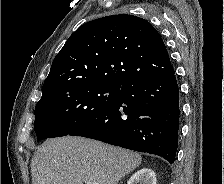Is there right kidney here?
<instances>
[{
	"label": "right kidney",
	"mask_w": 224,
	"mask_h": 184,
	"mask_svg": "<svg viewBox=\"0 0 224 184\" xmlns=\"http://www.w3.org/2000/svg\"><path fill=\"white\" fill-rule=\"evenodd\" d=\"M127 184H156V175L151 169L143 168L137 171Z\"/></svg>",
	"instance_id": "obj_1"
}]
</instances>
